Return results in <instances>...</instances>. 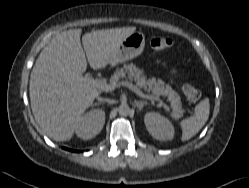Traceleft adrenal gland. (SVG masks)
I'll return each mask as SVG.
<instances>
[{"instance_id": "a2214340", "label": "left adrenal gland", "mask_w": 249, "mask_h": 188, "mask_svg": "<svg viewBox=\"0 0 249 188\" xmlns=\"http://www.w3.org/2000/svg\"><path fill=\"white\" fill-rule=\"evenodd\" d=\"M135 105L138 107L139 110H142L144 105H148L146 101H135Z\"/></svg>"}]
</instances>
